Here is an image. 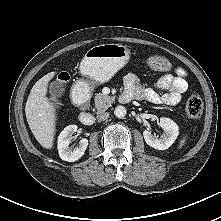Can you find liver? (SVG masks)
Wrapping results in <instances>:
<instances>
[{
	"label": "liver",
	"mask_w": 221,
	"mask_h": 221,
	"mask_svg": "<svg viewBox=\"0 0 221 221\" xmlns=\"http://www.w3.org/2000/svg\"><path fill=\"white\" fill-rule=\"evenodd\" d=\"M56 72H50L39 79L32 87L25 106L26 119L38 143L46 149L53 147L56 109L48 99V83Z\"/></svg>",
	"instance_id": "1"
}]
</instances>
